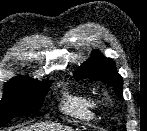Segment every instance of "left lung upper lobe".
I'll use <instances>...</instances> for the list:
<instances>
[{
	"label": "left lung upper lobe",
	"instance_id": "1",
	"mask_svg": "<svg viewBox=\"0 0 147 131\" xmlns=\"http://www.w3.org/2000/svg\"><path fill=\"white\" fill-rule=\"evenodd\" d=\"M78 78L100 80L111 85L118 97H122V77L117 73L115 63L96 51L74 73Z\"/></svg>",
	"mask_w": 147,
	"mask_h": 131
}]
</instances>
